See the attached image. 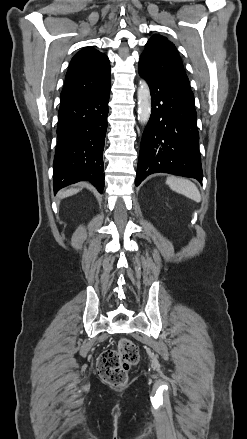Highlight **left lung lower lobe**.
<instances>
[{
	"mask_svg": "<svg viewBox=\"0 0 247 439\" xmlns=\"http://www.w3.org/2000/svg\"><path fill=\"white\" fill-rule=\"evenodd\" d=\"M151 92V117L140 145L136 186L164 172L202 181L194 95L139 63Z\"/></svg>",
	"mask_w": 247,
	"mask_h": 439,
	"instance_id": "0a47b994",
	"label": "left lung lower lobe"
}]
</instances>
